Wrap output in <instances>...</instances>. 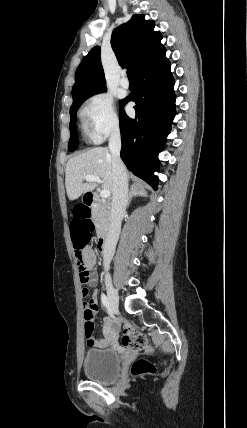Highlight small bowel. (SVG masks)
<instances>
[{"label": "small bowel", "instance_id": "obj_1", "mask_svg": "<svg viewBox=\"0 0 247 428\" xmlns=\"http://www.w3.org/2000/svg\"><path fill=\"white\" fill-rule=\"evenodd\" d=\"M83 257L91 269V280L88 283V286L95 288L97 285V281H98L97 272L94 268L95 263H96V255L91 248H86L83 251ZM87 304L90 307H92L93 312L95 314L98 310V294H97L96 290L93 291L91 299L87 302ZM110 325L111 324L109 322H106L105 328L109 329ZM87 344L89 346L98 347V348L107 347L110 344V338H108V337L107 338H98V339L93 338L91 341H87Z\"/></svg>", "mask_w": 247, "mask_h": 428}]
</instances>
